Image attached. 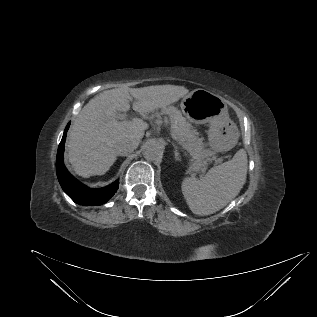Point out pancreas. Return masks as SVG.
<instances>
[{"label": "pancreas", "instance_id": "pancreas-1", "mask_svg": "<svg viewBox=\"0 0 317 317\" xmlns=\"http://www.w3.org/2000/svg\"><path fill=\"white\" fill-rule=\"evenodd\" d=\"M162 114L169 116L172 137L190 154L193 170H205L208 157L213 155V152L206 148L197 130L174 106L163 108L161 112L155 113L153 118H159Z\"/></svg>", "mask_w": 317, "mask_h": 317}]
</instances>
